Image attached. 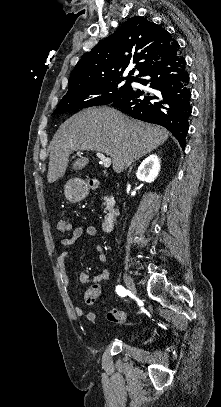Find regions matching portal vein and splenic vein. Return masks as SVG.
Returning a JSON list of instances; mask_svg holds the SVG:
<instances>
[{
  "label": "portal vein and splenic vein",
  "mask_w": 221,
  "mask_h": 407,
  "mask_svg": "<svg viewBox=\"0 0 221 407\" xmlns=\"http://www.w3.org/2000/svg\"><path fill=\"white\" fill-rule=\"evenodd\" d=\"M82 153L80 151H77V155H81ZM96 156L100 159L101 163L103 164L104 168H109L111 165V158L110 157H105L104 154L97 152Z\"/></svg>",
  "instance_id": "obj_1"
}]
</instances>
